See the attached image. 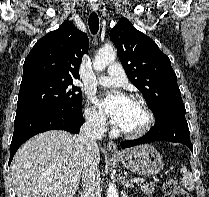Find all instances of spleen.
<instances>
[{
    "label": "spleen",
    "mask_w": 209,
    "mask_h": 197,
    "mask_svg": "<svg viewBox=\"0 0 209 197\" xmlns=\"http://www.w3.org/2000/svg\"><path fill=\"white\" fill-rule=\"evenodd\" d=\"M180 172L182 174V185L189 191H192L194 189V179L192 176V173L188 171V169L183 166L180 169Z\"/></svg>",
    "instance_id": "obj_1"
}]
</instances>
